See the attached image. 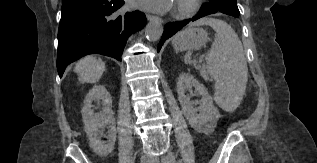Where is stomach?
Segmentation results:
<instances>
[{"label":"stomach","instance_id":"1","mask_svg":"<svg viewBox=\"0 0 317 163\" xmlns=\"http://www.w3.org/2000/svg\"><path fill=\"white\" fill-rule=\"evenodd\" d=\"M209 40L207 32L202 28H189L178 33L172 45L176 51L200 49Z\"/></svg>","mask_w":317,"mask_h":163}]
</instances>
